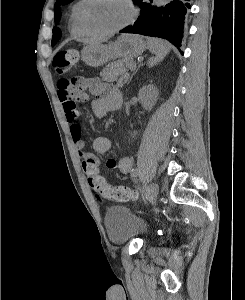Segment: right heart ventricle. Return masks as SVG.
Returning <instances> with one entry per match:
<instances>
[{"label": "right heart ventricle", "instance_id": "e07e8e85", "mask_svg": "<svg viewBox=\"0 0 245 300\" xmlns=\"http://www.w3.org/2000/svg\"><path fill=\"white\" fill-rule=\"evenodd\" d=\"M83 3V0L76 1L73 6L71 7L70 12V18H69V27L72 34L78 35V36H84L87 35L82 28L80 27L78 20H77V14L78 10Z\"/></svg>", "mask_w": 245, "mask_h": 300}]
</instances>
